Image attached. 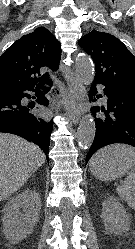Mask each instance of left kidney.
<instances>
[{"label": "left kidney", "mask_w": 135, "mask_h": 249, "mask_svg": "<svg viewBox=\"0 0 135 249\" xmlns=\"http://www.w3.org/2000/svg\"><path fill=\"white\" fill-rule=\"evenodd\" d=\"M105 229L114 234H121L130 228V219L125 208L113 197L102 203V214Z\"/></svg>", "instance_id": "5707ae66"}]
</instances>
